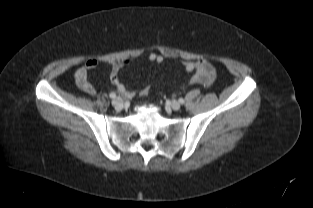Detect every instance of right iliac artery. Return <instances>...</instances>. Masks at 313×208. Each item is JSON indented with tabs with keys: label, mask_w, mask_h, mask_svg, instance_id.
Segmentation results:
<instances>
[{
	"label": "right iliac artery",
	"mask_w": 313,
	"mask_h": 208,
	"mask_svg": "<svg viewBox=\"0 0 313 208\" xmlns=\"http://www.w3.org/2000/svg\"><path fill=\"white\" fill-rule=\"evenodd\" d=\"M109 96H110V98H115V97H116V93L111 92V93L109 94Z\"/></svg>",
	"instance_id": "obj_1"
}]
</instances>
